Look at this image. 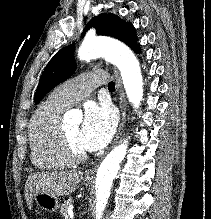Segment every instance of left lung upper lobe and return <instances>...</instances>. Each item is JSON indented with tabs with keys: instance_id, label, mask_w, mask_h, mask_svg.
I'll return each mask as SVG.
<instances>
[{
	"instance_id": "obj_1",
	"label": "left lung upper lobe",
	"mask_w": 211,
	"mask_h": 219,
	"mask_svg": "<svg viewBox=\"0 0 211 219\" xmlns=\"http://www.w3.org/2000/svg\"><path fill=\"white\" fill-rule=\"evenodd\" d=\"M91 27L96 28L98 35L119 39L134 50L138 46L135 29L132 24L125 22L117 15L103 13L92 18L86 25L82 36ZM73 56L74 44L61 49L54 55L41 75L35 93V103H38L56 85L73 75L76 70Z\"/></svg>"
}]
</instances>
